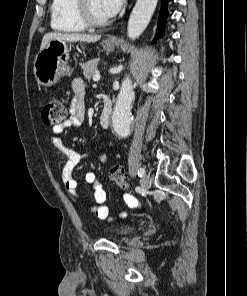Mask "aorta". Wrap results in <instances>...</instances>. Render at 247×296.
Returning <instances> with one entry per match:
<instances>
[{
	"instance_id": "aorta-1",
	"label": "aorta",
	"mask_w": 247,
	"mask_h": 296,
	"mask_svg": "<svg viewBox=\"0 0 247 296\" xmlns=\"http://www.w3.org/2000/svg\"><path fill=\"white\" fill-rule=\"evenodd\" d=\"M158 0H137L127 27L130 39L135 40L146 29L156 9ZM132 81L125 77L122 81L117 101L112 113V126L116 134L126 136L129 134L131 125V104L134 100Z\"/></svg>"
}]
</instances>
